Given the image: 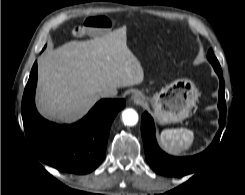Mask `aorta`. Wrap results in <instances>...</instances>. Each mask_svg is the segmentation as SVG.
Wrapping results in <instances>:
<instances>
[{
    "mask_svg": "<svg viewBox=\"0 0 245 195\" xmlns=\"http://www.w3.org/2000/svg\"><path fill=\"white\" fill-rule=\"evenodd\" d=\"M123 123L127 126H134L138 122V114L134 109H126L122 113Z\"/></svg>",
    "mask_w": 245,
    "mask_h": 195,
    "instance_id": "obj_1",
    "label": "aorta"
}]
</instances>
